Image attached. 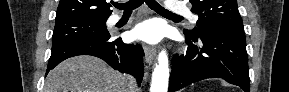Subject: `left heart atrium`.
Instances as JSON below:
<instances>
[{
  "instance_id": "1",
  "label": "left heart atrium",
  "mask_w": 289,
  "mask_h": 92,
  "mask_svg": "<svg viewBox=\"0 0 289 92\" xmlns=\"http://www.w3.org/2000/svg\"><path fill=\"white\" fill-rule=\"evenodd\" d=\"M163 33L162 25L150 19L137 24L131 31V37L145 43L156 44L161 40Z\"/></svg>"
}]
</instances>
